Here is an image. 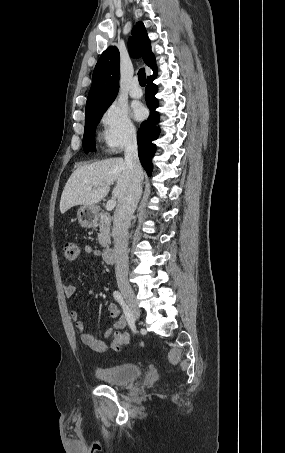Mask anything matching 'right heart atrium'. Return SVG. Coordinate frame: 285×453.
<instances>
[{
	"label": "right heart atrium",
	"instance_id": "right-heart-atrium-1",
	"mask_svg": "<svg viewBox=\"0 0 285 453\" xmlns=\"http://www.w3.org/2000/svg\"><path fill=\"white\" fill-rule=\"evenodd\" d=\"M101 138L109 153H118L135 141L137 129L127 109L119 103L109 105L101 116Z\"/></svg>",
	"mask_w": 285,
	"mask_h": 453
}]
</instances>
